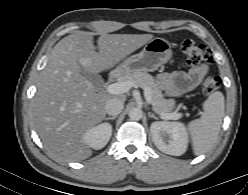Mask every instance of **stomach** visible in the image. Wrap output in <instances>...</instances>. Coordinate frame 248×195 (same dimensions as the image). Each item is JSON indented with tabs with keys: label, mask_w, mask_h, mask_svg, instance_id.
<instances>
[{
	"label": "stomach",
	"mask_w": 248,
	"mask_h": 195,
	"mask_svg": "<svg viewBox=\"0 0 248 195\" xmlns=\"http://www.w3.org/2000/svg\"><path fill=\"white\" fill-rule=\"evenodd\" d=\"M173 52L164 38L151 39L141 52L125 59L116 68L117 73L153 72L169 62Z\"/></svg>",
	"instance_id": "obj_1"
}]
</instances>
